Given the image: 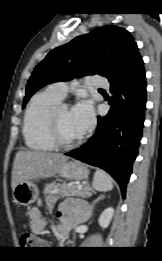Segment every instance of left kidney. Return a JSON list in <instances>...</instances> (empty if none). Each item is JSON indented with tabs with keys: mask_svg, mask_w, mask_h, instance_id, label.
Wrapping results in <instances>:
<instances>
[{
	"mask_svg": "<svg viewBox=\"0 0 162 261\" xmlns=\"http://www.w3.org/2000/svg\"><path fill=\"white\" fill-rule=\"evenodd\" d=\"M113 214H114V209L109 207V208H106L102 214L100 215L99 217V225L102 227V228H107L112 220V217H113Z\"/></svg>",
	"mask_w": 162,
	"mask_h": 261,
	"instance_id": "left-kidney-1",
	"label": "left kidney"
}]
</instances>
